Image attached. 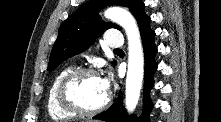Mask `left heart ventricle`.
Segmentation results:
<instances>
[{
  "instance_id": "obj_1",
  "label": "left heart ventricle",
  "mask_w": 221,
  "mask_h": 122,
  "mask_svg": "<svg viewBox=\"0 0 221 122\" xmlns=\"http://www.w3.org/2000/svg\"><path fill=\"white\" fill-rule=\"evenodd\" d=\"M70 94L77 104L86 109H92L105 100L107 91L103 88L100 77L86 75L76 80Z\"/></svg>"
}]
</instances>
